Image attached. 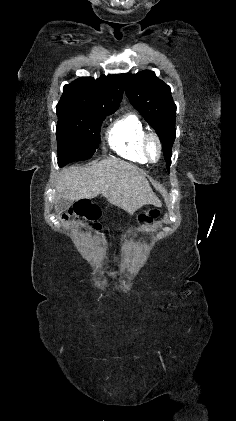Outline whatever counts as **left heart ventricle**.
I'll list each match as a JSON object with an SVG mask.
<instances>
[{
	"mask_svg": "<svg viewBox=\"0 0 236 421\" xmlns=\"http://www.w3.org/2000/svg\"><path fill=\"white\" fill-rule=\"evenodd\" d=\"M150 155L153 160H157L159 153L155 143H152L150 146Z\"/></svg>",
	"mask_w": 236,
	"mask_h": 421,
	"instance_id": "b2bd125f",
	"label": "left heart ventricle"
}]
</instances>
